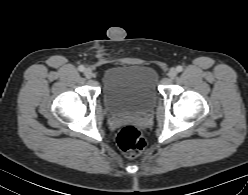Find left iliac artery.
<instances>
[{
    "mask_svg": "<svg viewBox=\"0 0 248 195\" xmlns=\"http://www.w3.org/2000/svg\"><path fill=\"white\" fill-rule=\"evenodd\" d=\"M176 69H177L178 72H181L183 70V67L182 66H177Z\"/></svg>",
    "mask_w": 248,
    "mask_h": 195,
    "instance_id": "44dca946",
    "label": "left iliac artery"
}]
</instances>
